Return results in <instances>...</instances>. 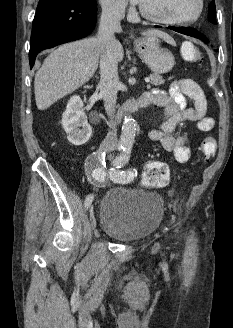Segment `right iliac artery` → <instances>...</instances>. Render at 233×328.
<instances>
[{"instance_id": "right-iliac-artery-1", "label": "right iliac artery", "mask_w": 233, "mask_h": 328, "mask_svg": "<svg viewBox=\"0 0 233 328\" xmlns=\"http://www.w3.org/2000/svg\"><path fill=\"white\" fill-rule=\"evenodd\" d=\"M119 151L123 150V146H118ZM105 151H97L92 153L86 163H85V169L86 174L88 177V180L90 183L96 187H103L107 183L106 181V172H105ZM94 196L88 195L85 199V206L88 208L92 201Z\"/></svg>"}]
</instances>
